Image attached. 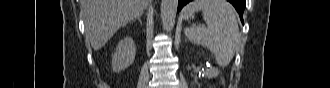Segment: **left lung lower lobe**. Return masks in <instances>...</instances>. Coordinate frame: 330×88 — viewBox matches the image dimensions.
<instances>
[{
	"label": "left lung lower lobe",
	"instance_id": "obj_1",
	"mask_svg": "<svg viewBox=\"0 0 330 88\" xmlns=\"http://www.w3.org/2000/svg\"><path fill=\"white\" fill-rule=\"evenodd\" d=\"M192 0H179L178 2V11H180L182 9V7L184 5H186L187 3H189ZM237 10V12L239 13L240 19L243 22V12H244V8L242 7V3L244 0H228ZM246 3V1H245Z\"/></svg>",
	"mask_w": 330,
	"mask_h": 88
}]
</instances>
